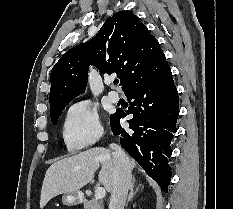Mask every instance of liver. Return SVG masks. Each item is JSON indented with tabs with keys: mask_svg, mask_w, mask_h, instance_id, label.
Masks as SVG:
<instances>
[{
	"mask_svg": "<svg viewBox=\"0 0 233 209\" xmlns=\"http://www.w3.org/2000/svg\"><path fill=\"white\" fill-rule=\"evenodd\" d=\"M129 163L131 169L136 166L134 160L129 159ZM100 165L99 182L108 192H112L115 161L109 149L91 148L53 163L44 177L40 208L43 209L49 200L60 194L78 192L93 180L94 173Z\"/></svg>",
	"mask_w": 233,
	"mask_h": 209,
	"instance_id": "1",
	"label": "liver"
}]
</instances>
